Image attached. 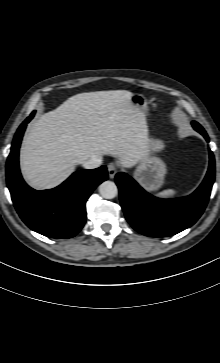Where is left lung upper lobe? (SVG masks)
Returning a JSON list of instances; mask_svg holds the SVG:
<instances>
[{
  "label": "left lung upper lobe",
  "mask_w": 220,
  "mask_h": 363,
  "mask_svg": "<svg viewBox=\"0 0 220 363\" xmlns=\"http://www.w3.org/2000/svg\"><path fill=\"white\" fill-rule=\"evenodd\" d=\"M193 126H194L195 130H197L198 132H201L202 130H204L201 125L197 126V125L194 124Z\"/></svg>",
  "instance_id": "obj_1"
}]
</instances>
